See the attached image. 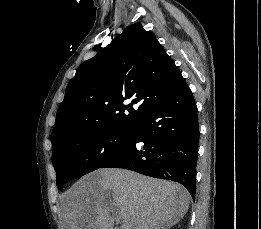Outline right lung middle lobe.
Masks as SVG:
<instances>
[{
    "mask_svg": "<svg viewBox=\"0 0 261 229\" xmlns=\"http://www.w3.org/2000/svg\"><path fill=\"white\" fill-rule=\"evenodd\" d=\"M133 138L134 132L94 128L81 130L63 141L52 150L58 189L62 191L67 182L101 168L126 150Z\"/></svg>",
    "mask_w": 261,
    "mask_h": 229,
    "instance_id": "dd1d6c3e",
    "label": "right lung middle lobe"
}]
</instances>
